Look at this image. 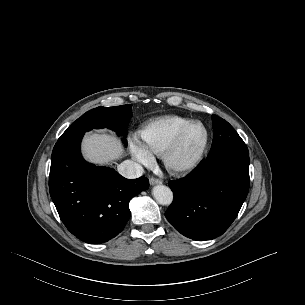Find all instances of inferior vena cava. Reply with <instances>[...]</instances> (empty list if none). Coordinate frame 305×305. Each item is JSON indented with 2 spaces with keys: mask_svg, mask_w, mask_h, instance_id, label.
Returning <instances> with one entry per match:
<instances>
[{
  "mask_svg": "<svg viewBox=\"0 0 305 305\" xmlns=\"http://www.w3.org/2000/svg\"><path fill=\"white\" fill-rule=\"evenodd\" d=\"M117 169L123 177L128 179L138 178L144 173L143 167L132 160L123 161L118 165Z\"/></svg>",
  "mask_w": 305,
  "mask_h": 305,
  "instance_id": "obj_1",
  "label": "inferior vena cava"
}]
</instances>
